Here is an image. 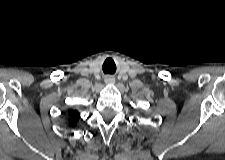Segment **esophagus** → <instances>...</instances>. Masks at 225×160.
I'll list each match as a JSON object with an SVG mask.
<instances>
[{"mask_svg":"<svg viewBox=\"0 0 225 160\" xmlns=\"http://www.w3.org/2000/svg\"><path fill=\"white\" fill-rule=\"evenodd\" d=\"M115 82V80H114V78H112L111 76H107L106 78H105V83H114Z\"/></svg>","mask_w":225,"mask_h":160,"instance_id":"34e87169","label":"esophagus"}]
</instances>
